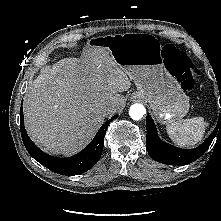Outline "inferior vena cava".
Masks as SVG:
<instances>
[{"label":"inferior vena cava","mask_w":221,"mask_h":221,"mask_svg":"<svg viewBox=\"0 0 221 221\" xmlns=\"http://www.w3.org/2000/svg\"><path fill=\"white\" fill-rule=\"evenodd\" d=\"M119 110V106L116 104H109L104 108V115L110 116L115 114Z\"/></svg>","instance_id":"602c4592"}]
</instances>
